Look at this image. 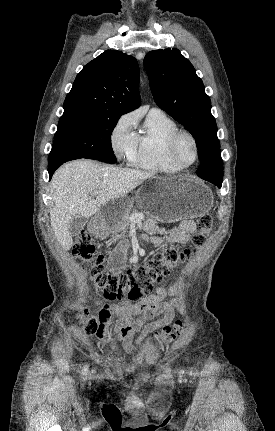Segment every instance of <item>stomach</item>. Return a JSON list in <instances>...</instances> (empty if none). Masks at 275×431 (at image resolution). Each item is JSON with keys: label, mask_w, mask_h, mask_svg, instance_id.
Returning <instances> with one entry per match:
<instances>
[{"label": "stomach", "mask_w": 275, "mask_h": 431, "mask_svg": "<svg viewBox=\"0 0 275 431\" xmlns=\"http://www.w3.org/2000/svg\"><path fill=\"white\" fill-rule=\"evenodd\" d=\"M153 188L142 187L136 192L135 200L146 212L162 222L193 219L207 214L213 206L212 192L195 180L184 176L156 178ZM132 201L121 197L105 205L91 226V232L98 238L112 233L123 211Z\"/></svg>", "instance_id": "stomach-1"}]
</instances>
